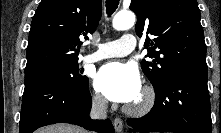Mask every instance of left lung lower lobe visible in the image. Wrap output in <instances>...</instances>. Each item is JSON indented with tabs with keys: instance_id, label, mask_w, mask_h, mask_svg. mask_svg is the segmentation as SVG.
Instances as JSON below:
<instances>
[{
	"instance_id": "0a47b994",
	"label": "left lung lower lobe",
	"mask_w": 221,
	"mask_h": 133,
	"mask_svg": "<svg viewBox=\"0 0 221 133\" xmlns=\"http://www.w3.org/2000/svg\"><path fill=\"white\" fill-rule=\"evenodd\" d=\"M152 110L142 118L128 119L134 132L168 131L211 133L207 74L178 72L155 90Z\"/></svg>"
}]
</instances>
